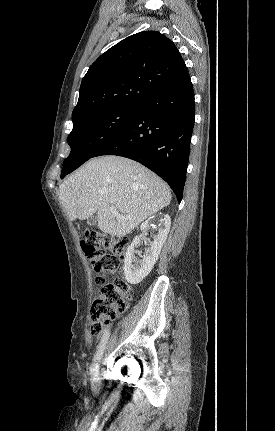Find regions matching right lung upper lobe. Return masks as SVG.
Listing matches in <instances>:
<instances>
[{
  "label": "right lung upper lobe",
  "mask_w": 275,
  "mask_h": 431,
  "mask_svg": "<svg viewBox=\"0 0 275 431\" xmlns=\"http://www.w3.org/2000/svg\"><path fill=\"white\" fill-rule=\"evenodd\" d=\"M187 73L177 47L163 34L144 31L129 36L90 66L72 120L111 107H138Z\"/></svg>",
  "instance_id": "1"
}]
</instances>
